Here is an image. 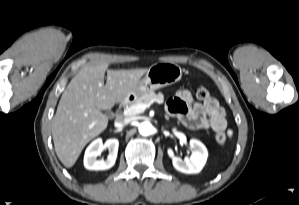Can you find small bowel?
Here are the masks:
<instances>
[{"label": "small bowel", "instance_id": "obj_1", "mask_svg": "<svg viewBox=\"0 0 299 205\" xmlns=\"http://www.w3.org/2000/svg\"><path fill=\"white\" fill-rule=\"evenodd\" d=\"M200 100L196 101L191 91L183 89L168 101L166 108L189 129L224 132L227 129L225 110L218 100L211 96Z\"/></svg>", "mask_w": 299, "mask_h": 205}]
</instances>
